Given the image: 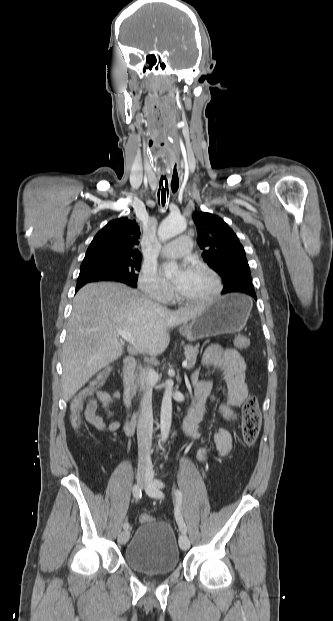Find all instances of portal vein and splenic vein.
Returning a JSON list of instances; mask_svg holds the SVG:
<instances>
[{
	"mask_svg": "<svg viewBox=\"0 0 333 621\" xmlns=\"http://www.w3.org/2000/svg\"><path fill=\"white\" fill-rule=\"evenodd\" d=\"M117 333H118V335L121 338H123L124 340L132 343L135 347H137L136 344H135V340H134L133 336L128 331L117 329ZM187 365H188L187 360H184L182 362V366L185 368V367H187Z\"/></svg>",
	"mask_w": 333,
	"mask_h": 621,
	"instance_id": "1",
	"label": "portal vein and splenic vein"
}]
</instances>
